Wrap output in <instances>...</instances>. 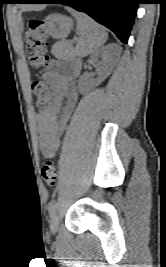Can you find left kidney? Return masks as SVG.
Returning a JSON list of instances; mask_svg holds the SVG:
<instances>
[{
  "label": "left kidney",
  "mask_w": 166,
  "mask_h": 267,
  "mask_svg": "<svg viewBox=\"0 0 166 267\" xmlns=\"http://www.w3.org/2000/svg\"><path fill=\"white\" fill-rule=\"evenodd\" d=\"M102 58V62H99ZM92 61L97 66L98 77L89 83L83 82V77L80 78L79 88L82 92L89 91L100 85L112 72V59L108 54V48L102 49L91 56Z\"/></svg>",
  "instance_id": "1"
}]
</instances>
